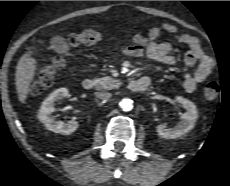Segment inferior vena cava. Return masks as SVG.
Wrapping results in <instances>:
<instances>
[{
  "label": "inferior vena cava",
  "instance_id": "obj_1",
  "mask_svg": "<svg viewBox=\"0 0 230 186\" xmlns=\"http://www.w3.org/2000/svg\"><path fill=\"white\" fill-rule=\"evenodd\" d=\"M96 97H98L99 99H102V100H108L111 98V93L109 92H96L95 93Z\"/></svg>",
  "mask_w": 230,
  "mask_h": 186
}]
</instances>
